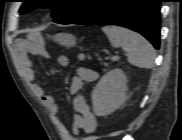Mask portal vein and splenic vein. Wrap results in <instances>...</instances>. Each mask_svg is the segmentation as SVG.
Instances as JSON below:
<instances>
[{"label":"portal vein and splenic vein","mask_w":182,"mask_h":140,"mask_svg":"<svg viewBox=\"0 0 182 140\" xmlns=\"http://www.w3.org/2000/svg\"><path fill=\"white\" fill-rule=\"evenodd\" d=\"M118 59H119L118 56H113V57H112V60H114V61H115V60H118Z\"/></svg>","instance_id":"portal-vein-and-splenic-vein-1"}]
</instances>
